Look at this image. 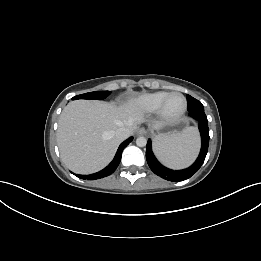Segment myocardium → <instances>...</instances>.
I'll return each instance as SVG.
<instances>
[{
    "instance_id": "myocardium-1",
    "label": "myocardium",
    "mask_w": 261,
    "mask_h": 261,
    "mask_svg": "<svg viewBox=\"0 0 261 261\" xmlns=\"http://www.w3.org/2000/svg\"><path fill=\"white\" fill-rule=\"evenodd\" d=\"M174 95H180L183 98V107L178 113L169 114L166 111V104H167V101L169 100V98ZM187 106H188V103H187V99H186L185 95H183L180 92H171V93H168L166 95V97L163 99V101L161 102L160 107L158 109V115L162 120H164L166 122H175L183 117V115L187 111Z\"/></svg>"
}]
</instances>
